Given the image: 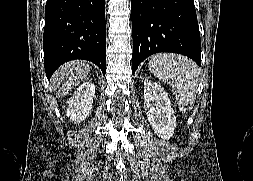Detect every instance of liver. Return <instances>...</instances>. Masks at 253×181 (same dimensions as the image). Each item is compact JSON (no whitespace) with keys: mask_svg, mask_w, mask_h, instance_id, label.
<instances>
[{"mask_svg":"<svg viewBox=\"0 0 253 181\" xmlns=\"http://www.w3.org/2000/svg\"><path fill=\"white\" fill-rule=\"evenodd\" d=\"M90 72V65L85 61L64 64L54 74L53 86L59 88L60 96H65L74 86L85 80Z\"/></svg>","mask_w":253,"mask_h":181,"instance_id":"6515ba94","label":"liver"}]
</instances>
